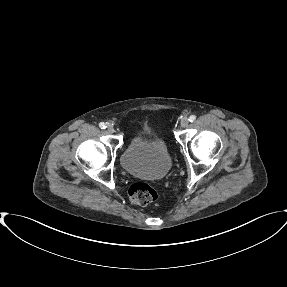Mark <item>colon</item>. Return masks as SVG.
<instances>
[{
    "label": "colon",
    "mask_w": 287,
    "mask_h": 287,
    "mask_svg": "<svg viewBox=\"0 0 287 287\" xmlns=\"http://www.w3.org/2000/svg\"><path fill=\"white\" fill-rule=\"evenodd\" d=\"M129 196L133 203L146 206L157 200L155 189L146 183L137 182L131 185Z\"/></svg>",
    "instance_id": "colon-1"
}]
</instances>
